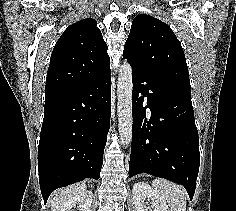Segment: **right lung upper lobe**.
<instances>
[{
    "label": "right lung upper lobe",
    "instance_id": "obj_1",
    "mask_svg": "<svg viewBox=\"0 0 236 211\" xmlns=\"http://www.w3.org/2000/svg\"><path fill=\"white\" fill-rule=\"evenodd\" d=\"M107 45L94 19L70 25L53 49L45 93L78 87L110 71Z\"/></svg>",
    "mask_w": 236,
    "mask_h": 211
}]
</instances>
